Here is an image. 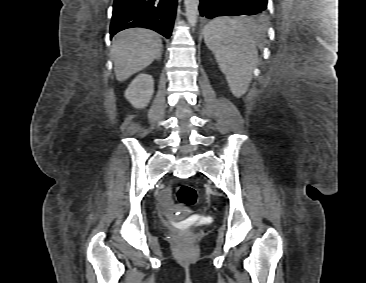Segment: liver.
<instances>
[{
  "label": "liver",
  "mask_w": 366,
  "mask_h": 283,
  "mask_svg": "<svg viewBox=\"0 0 366 283\" xmlns=\"http://www.w3.org/2000/svg\"><path fill=\"white\" fill-rule=\"evenodd\" d=\"M160 36L146 28H128L114 37L111 54L118 81H125L134 73L150 65L162 52Z\"/></svg>",
  "instance_id": "obj_1"
}]
</instances>
